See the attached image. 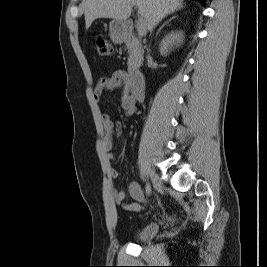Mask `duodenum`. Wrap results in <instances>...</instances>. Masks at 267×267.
Listing matches in <instances>:
<instances>
[{"mask_svg": "<svg viewBox=\"0 0 267 267\" xmlns=\"http://www.w3.org/2000/svg\"><path fill=\"white\" fill-rule=\"evenodd\" d=\"M132 24L129 22L127 23V28H131ZM144 90H145V79L143 74L140 71H133L132 72V81H131V95L132 97L140 101L144 97Z\"/></svg>", "mask_w": 267, "mask_h": 267, "instance_id": "1", "label": "duodenum"}]
</instances>
